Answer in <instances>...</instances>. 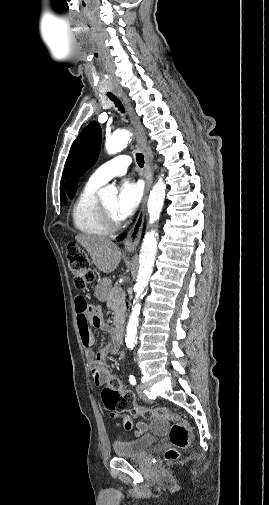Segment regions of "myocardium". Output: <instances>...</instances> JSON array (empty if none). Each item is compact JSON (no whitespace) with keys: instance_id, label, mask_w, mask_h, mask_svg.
<instances>
[{"instance_id":"obj_1","label":"myocardium","mask_w":269,"mask_h":505,"mask_svg":"<svg viewBox=\"0 0 269 505\" xmlns=\"http://www.w3.org/2000/svg\"><path fill=\"white\" fill-rule=\"evenodd\" d=\"M100 212L103 221L110 231H114L120 228L121 221L112 216V214L106 209L102 202H99Z\"/></svg>"}]
</instances>
